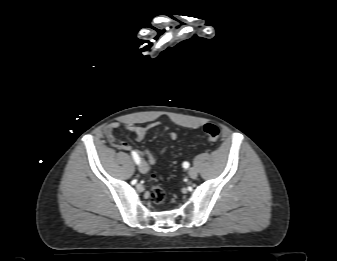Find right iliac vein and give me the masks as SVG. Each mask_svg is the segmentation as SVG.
Listing matches in <instances>:
<instances>
[{
	"instance_id": "63e3f726",
	"label": "right iliac vein",
	"mask_w": 337,
	"mask_h": 261,
	"mask_svg": "<svg viewBox=\"0 0 337 261\" xmlns=\"http://www.w3.org/2000/svg\"><path fill=\"white\" fill-rule=\"evenodd\" d=\"M138 169L141 173H147L148 172V165L143 161L139 164Z\"/></svg>"
}]
</instances>
